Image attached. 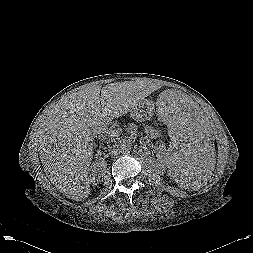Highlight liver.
Instances as JSON below:
<instances>
[{"label":"liver","instance_id":"1","mask_svg":"<svg viewBox=\"0 0 253 253\" xmlns=\"http://www.w3.org/2000/svg\"><path fill=\"white\" fill-rule=\"evenodd\" d=\"M153 91L138 81L91 85L56 105L38 129L40 159L51 183L67 198L86 199L91 192V129L127 114Z\"/></svg>","mask_w":253,"mask_h":253}]
</instances>
